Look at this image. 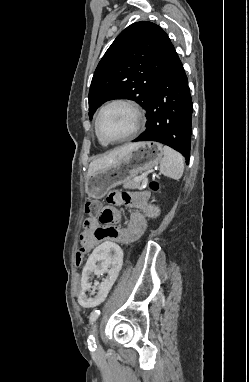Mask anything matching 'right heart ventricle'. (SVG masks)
I'll list each match as a JSON object with an SVG mask.
<instances>
[{"instance_id": "obj_1", "label": "right heart ventricle", "mask_w": 249, "mask_h": 382, "mask_svg": "<svg viewBox=\"0 0 249 382\" xmlns=\"http://www.w3.org/2000/svg\"><path fill=\"white\" fill-rule=\"evenodd\" d=\"M100 141V140H99ZM101 144L105 145V143H103L102 141H100Z\"/></svg>"}]
</instances>
